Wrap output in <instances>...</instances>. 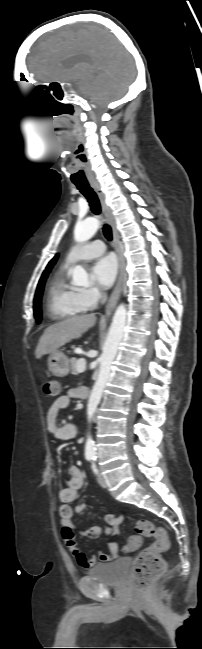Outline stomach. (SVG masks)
<instances>
[{"label": "stomach", "mask_w": 202, "mask_h": 649, "mask_svg": "<svg viewBox=\"0 0 202 649\" xmlns=\"http://www.w3.org/2000/svg\"><path fill=\"white\" fill-rule=\"evenodd\" d=\"M48 369L56 377H65L70 371V362L67 356L56 350L48 358Z\"/></svg>", "instance_id": "obj_1"}]
</instances>
